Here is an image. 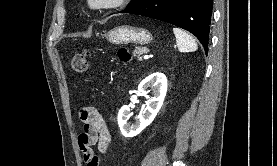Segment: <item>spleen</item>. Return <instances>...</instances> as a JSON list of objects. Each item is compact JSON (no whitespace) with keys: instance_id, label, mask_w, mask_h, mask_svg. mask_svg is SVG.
Instances as JSON below:
<instances>
[{"instance_id":"3e777b00","label":"spleen","mask_w":277,"mask_h":166,"mask_svg":"<svg viewBox=\"0 0 277 166\" xmlns=\"http://www.w3.org/2000/svg\"><path fill=\"white\" fill-rule=\"evenodd\" d=\"M173 32L175 34L177 47L180 52H194L198 49L195 39L186 31L174 27Z\"/></svg>"}]
</instances>
